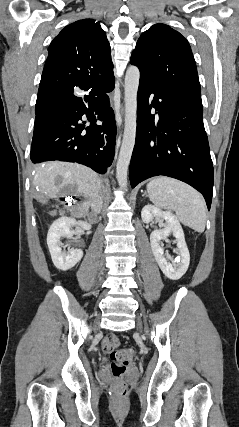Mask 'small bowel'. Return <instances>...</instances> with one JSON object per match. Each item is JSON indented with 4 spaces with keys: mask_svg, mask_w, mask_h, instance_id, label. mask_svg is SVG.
Instances as JSON below:
<instances>
[{
    "mask_svg": "<svg viewBox=\"0 0 239 427\" xmlns=\"http://www.w3.org/2000/svg\"><path fill=\"white\" fill-rule=\"evenodd\" d=\"M119 344V340L116 336L106 337L102 342V347L104 352H110L113 348H115Z\"/></svg>",
    "mask_w": 239,
    "mask_h": 427,
    "instance_id": "c3829d8e",
    "label": "small bowel"
}]
</instances>
